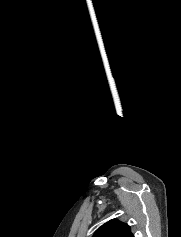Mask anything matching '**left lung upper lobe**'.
<instances>
[{"label": "left lung upper lobe", "mask_w": 181, "mask_h": 237, "mask_svg": "<svg viewBox=\"0 0 181 237\" xmlns=\"http://www.w3.org/2000/svg\"><path fill=\"white\" fill-rule=\"evenodd\" d=\"M93 237H134L128 224L112 219L94 233Z\"/></svg>", "instance_id": "left-lung-upper-lobe-1"}]
</instances>
